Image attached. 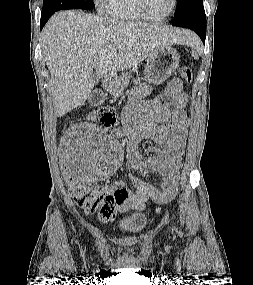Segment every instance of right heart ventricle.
Returning <instances> with one entry per match:
<instances>
[{"instance_id": "e07e8e85", "label": "right heart ventricle", "mask_w": 253, "mask_h": 285, "mask_svg": "<svg viewBox=\"0 0 253 285\" xmlns=\"http://www.w3.org/2000/svg\"><path fill=\"white\" fill-rule=\"evenodd\" d=\"M105 10L107 14L116 20L141 21L135 0H106Z\"/></svg>"}]
</instances>
